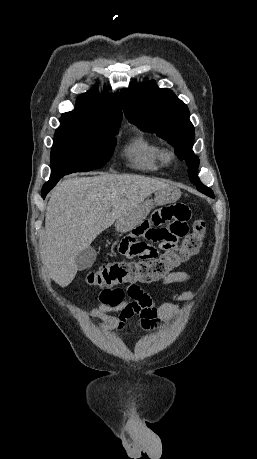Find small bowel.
<instances>
[{
    "label": "small bowel",
    "mask_w": 257,
    "mask_h": 459,
    "mask_svg": "<svg viewBox=\"0 0 257 459\" xmlns=\"http://www.w3.org/2000/svg\"><path fill=\"white\" fill-rule=\"evenodd\" d=\"M192 218L191 207L184 200H174L172 205H153L150 217L144 223H135L124 239L117 240L116 253L121 264H145L157 261L159 251H178L185 236H194V227H188ZM188 271H173L164 275L160 282L164 288L174 283L192 280ZM195 296L191 290L169 292L171 300H189ZM100 304L91 308L90 316L98 318L100 330L120 332L127 321L138 316L137 325L144 330L159 329L182 311L174 302L156 306L152 298L137 284L126 289L105 288L99 295ZM117 312L114 316L112 313Z\"/></svg>",
    "instance_id": "small-bowel-1"
}]
</instances>
